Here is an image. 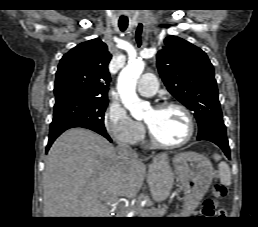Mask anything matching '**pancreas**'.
I'll use <instances>...</instances> for the list:
<instances>
[{
  "mask_svg": "<svg viewBox=\"0 0 258 227\" xmlns=\"http://www.w3.org/2000/svg\"><path fill=\"white\" fill-rule=\"evenodd\" d=\"M166 212L167 206H163L155 210L139 208L136 214L138 217H163Z\"/></svg>",
  "mask_w": 258,
  "mask_h": 227,
  "instance_id": "1",
  "label": "pancreas"
}]
</instances>
